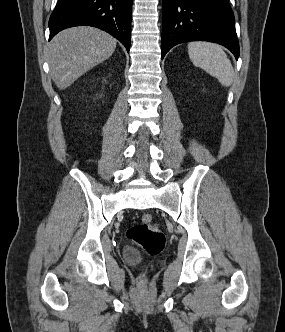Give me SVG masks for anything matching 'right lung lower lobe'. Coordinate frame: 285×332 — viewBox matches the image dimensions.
<instances>
[{
	"label": "right lung lower lobe",
	"mask_w": 285,
	"mask_h": 332,
	"mask_svg": "<svg viewBox=\"0 0 285 332\" xmlns=\"http://www.w3.org/2000/svg\"><path fill=\"white\" fill-rule=\"evenodd\" d=\"M132 1L58 0L49 19V40L65 28L93 26L113 35L129 52Z\"/></svg>",
	"instance_id": "right-lung-lower-lobe-1"
}]
</instances>
